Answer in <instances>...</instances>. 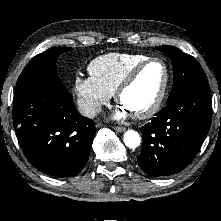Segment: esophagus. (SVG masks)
<instances>
[{
    "label": "esophagus",
    "instance_id": "obj_1",
    "mask_svg": "<svg viewBox=\"0 0 221 221\" xmlns=\"http://www.w3.org/2000/svg\"><path fill=\"white\" fill-rule=\"evenodd\" d=\"M114 130L117 132H123V131H125V127L114 126Z\"/></svg>",
    "mask_w": 221,
    "mask_h": 221
}]
</instances>
